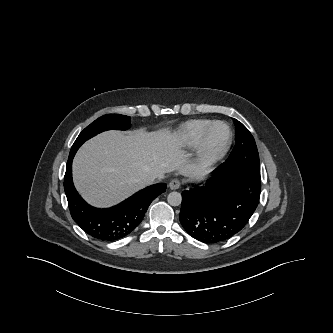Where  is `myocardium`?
I'll return each mask as SVG.
<instances>
[{
    "label": "myocardium",
    "instance_id": "f54148a6",
    "mask_svg": "<svg viewBox=\"0 0 333 333\" xmlns=\"http://www.w3.org/2000/svg\"><path fill=\"white\" fill-rule=\"evenodd\" d=\"M222 125L226 129V136L224 141L215 145L213 142V131L216 126ZM232 143V130L230 126L224 121H214L206 133L204 134L201 142L198 144L196 158L198 163L203 167H210L219 162L227 154Z\"/></svg>",
    "mask_w": 333,
    "mask_h": 333
}]
</instances>
